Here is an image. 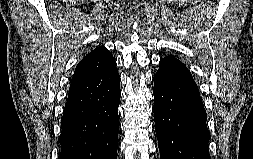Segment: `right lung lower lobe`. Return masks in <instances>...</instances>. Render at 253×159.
<instances>
[{
  "label": "right lung lower lobe",
  "instance_id": "1",
  "mask_svg": "<svg viewBox=\"0 0 253 159\" xmlns=\"http://www.w3.org/2000/svg\"><path fill=\"white\" fill-rule=\"evenodd\" d=\"M120 76L116 62L70 87L58 159H117Z\"/></svg>",
  "mask_w": 253,
  "mask_h": 159
}]
</instances>
